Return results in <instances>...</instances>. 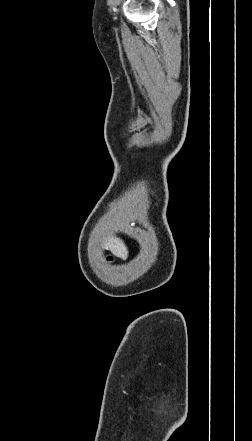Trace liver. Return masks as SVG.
Wrapping results in <instances>:
<instances>
[{
	"instance_id": "6515ba94",
	"label": "liver",
	"mask_w": 252,
	"mask_h": 441,
	"mask_svg": "<svg viewBox=\"0 0 252 441\" xmlns=\"http://www.w3.org/2000/svg\"><path fill=\"white\" fill-rule=\"evenodd\" d=\"M103 246L124 259L128 257V249L120 238L109 236L103 242Z\"/></svg>"
}]
</instances>
